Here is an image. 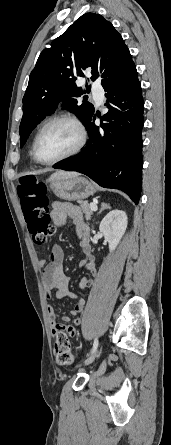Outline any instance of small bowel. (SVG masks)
<instances>
[{"label":"small bowel","instance_id":"small-bowel-1","mask_svg":"<svg viewBox=\"0 0 171 445\" xmlns=\"http://www.w3.org/2000/svg\"><path fill=\"white\" fill-rule=\"evenodd\" d=\"M52 217L56 226L64 225L68 217L72 220L84 254L82 268L95 276L94 256L89 244V230L82 220L79 209L71 203L56 201L52 204ZM64 256L63 248L59 244H54L49 258L39 261V267L42 270V286L47 299H51L52 297L57 299L68 297L76 300L70 311L71 315L76 316L83 312L85 300L69 290V278L63 266ZM93 283L94 279L84 277L81 279L79 287L82 290L89 289ZM47 312L54 337L57 332L64 330L70 336L77 334V327L80 326L81 319L76 318L74 323L70 325L66 324L69 322V317L65 315L59 316L53 306L48 305Z\"/></svg>","mask_w":171,"mask_h":445}]
</instances>
